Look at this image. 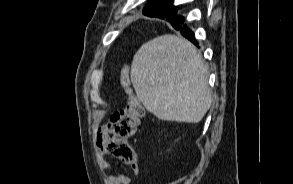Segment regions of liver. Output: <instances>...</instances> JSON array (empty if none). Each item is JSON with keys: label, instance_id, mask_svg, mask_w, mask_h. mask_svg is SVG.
<instances>
[{"label": "liver", "instance_id": "liver-1", "mask_svg": "<svg viewBox=\"0 0 293 184\" xmlns=\"http://www.w3.org/2000/svg\"><path fill=\"white\" fill-rule=\"evenodd\" d=\"M208 67L187 39L158 36L133 57L131 82L147 111L164 121L198 123L211 106Z\"/></svg>", "mask_w": 293, "mask_h": 184}]
</instances>
